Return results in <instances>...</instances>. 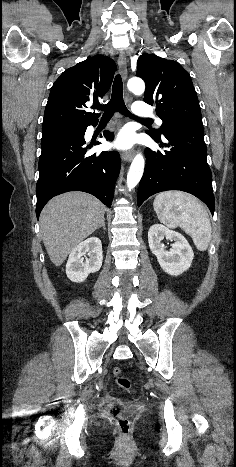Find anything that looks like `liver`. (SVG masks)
<instances>
[{"label":"liver","instance_id":"obj_1","mask_svg":"<svg viewBox=\"0 0 236 467\" xmlns=\"http://www.w3.org/2000/svg\"><path fill=\"white\" fill-rule=\"evenodd\" d=\"M105 207L85 192H67L52 198L40 215L42 240L51 262L60 266L70 252L98 229Z\"/></svg>","mask_w":236,"mask_h":467}]
</instances>
